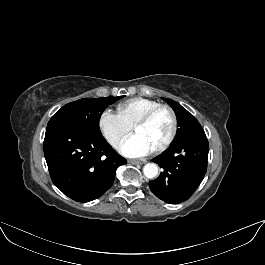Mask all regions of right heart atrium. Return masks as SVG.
<instances>
[{
  "mask_svg": "<svg viewBox=\"0 0 265 265\" xmlns=\"http://www.w3.org/2000/svg\"><path fill=\"white\" fill-rule=\"evenodd\" d=\"M98 125L104 138L115 149L120 148L132 130L131 126L110 109H106L100 114Z\"/></svg>",
  "mask_w": 265,
  "mask_h": 265,
  "instance_id": "obj_1",
  "label": "right heart atrium"
}]
</instances>
